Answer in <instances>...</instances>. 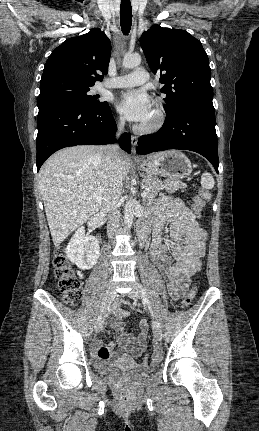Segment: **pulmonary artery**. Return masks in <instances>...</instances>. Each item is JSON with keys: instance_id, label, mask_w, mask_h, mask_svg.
Instances as JSON below:
<instances>
[{"instance_id": "1", "label": "pulmonary artery", "mask_w": 259, "mask_h": 431, "mask_svg": "<svg viewBox=\"0 0 259 431\" xmlns=\"http://www.w3.org/2000/svg\"><path fill=\"white\" fill-rule=\"evenodd\" d=\"M147 80H148V73L142 68H137L130 74L118 76L114 79L107 80L104 83V87L106 88L134 87L145 83Z\"/></svg>"}]
</instances>
